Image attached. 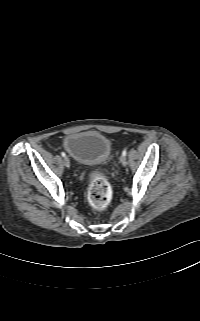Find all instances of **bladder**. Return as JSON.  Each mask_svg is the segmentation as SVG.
Listing matches in <instances>:
<instances>
[{
  "mask_svg": "<svg viewBox=\"0 0 200 321\" xmlns=\"http://www.w3.org/2000/svg\"><path fill=\"white\" fill-rule=\"evenodd\" d=\"M66 152L75 161L84 165L105 162L111 154L109 138L96 130H85L68 134L63 142Z\"/></svg>",
  "mask_w": 200,
  "mask_h": 321,
  "instance_id": "31cf9c89",
  "label": "bladder"
}]
</instances>
